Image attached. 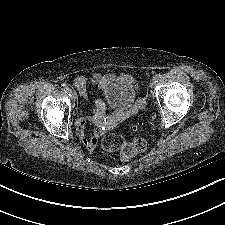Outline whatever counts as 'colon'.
I'll return each mask as SVG.
<instances>
[{
	"label": "colon",
	"mask_w": 225,
	"mask_h": 225,
	"mask_svg": "<svg viewBox=\"0 0 225 225\" xmlns=\"http://www.w3.org/2000/svg\"><path fill=\"white\" fill-rule=\"evenodd\" d=\"M143 123H139L134 128V131L139 133L144 130ZM101 148L105 152H120V156L123 160H130L136 155L144 152L148 148V142L145 138L137 137L132 141H127L124 136L119 133L105 134L101 139Z\"/></svg>",
	"instance_id": "colon-1"
}]
</instances>
